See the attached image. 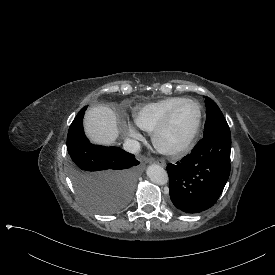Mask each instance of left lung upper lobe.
Listing matches in <instances>:
<instances>
[{
  "mask_svg": "<svg viewBox=\"0 0 275 275\" xmlns=\"http://www.w3.org/2000/svg\"><path fill=\"white\" fill-rule=\"evenodd\" d=\"M205 105L207 118L203 138H208L218 133L230 132L229 126L217 104L209 97H205Z\"/></svg>",
  "mask_w": 275,
  "mask_h": 275,
  "instance_id": "1",
  "label": "left lung upper lobe"
}]
</instances>
